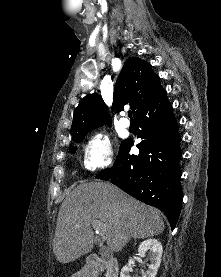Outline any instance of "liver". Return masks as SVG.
Here are the masks:
<instances>
[{
  "label": "liver",
  "mask_w": 221,
  "mask_h": 277,
  "mask_svg": "<svg viewBox=\"0 0 221 277\" xmlns=\"http://www.w3.org/2000/svg\"><path fill=\"white\" fill-rule=\"evenodd\" d=\"M105 228L111 252H119L130 238L145 239L163 232L158 210L105 182L82 183L63 201L57 218L53 252L66 264L88 254L94 246L92 222Z\"/></svg>",
  "instance_id": "obj_1"
}]
</instances>
